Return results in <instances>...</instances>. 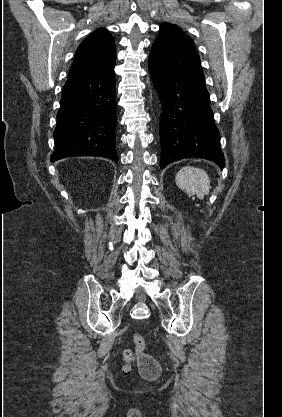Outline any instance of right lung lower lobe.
<instances>
[{
  "label": "right lung lower lobe",
  "instance_id": "obj_1",
  "mask_svg": "<svg viewBox=\"0 0 282 417\" xmlns=\"http://www.w3.org/2000/svg\"><path fill=\"white\" fill-rule=\"evenodd\" d=\"M115 62L66 81L50 160L102 156L117 162Z\"/></svg>",
  "mask_w": 282,
  "mask_h": 417
}]
</instances>
